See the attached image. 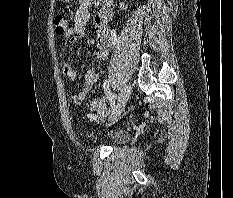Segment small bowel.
<instances>
[{
	"instance_id": "c3829d8e",
	"label": "small bowel",
	"mask_w": 233,
	"mask_h": 198,
	"mask_svg": "<svg viewBox=\"0 0 233 198\" xmlns=\"http://www.w3.org/2000/svg\"><path fill=\"white\" fill-rule=\"evenodd\" d=\"M91 2L92 0H79V6L74 14V23L72 26H67L63 34L71 43H76L85 36L86 24L90 17L89 6ZM112 16L113 13L110 6L104 5L94 18L97 33L95 57L99 60H106L112 47V39L108 29ZM62 72L70 80H74L77 77V70L70 63L65 62L62 65ZM98 80L99 75L96 71L92 69L87 70L81 90L70 96L72 103L81 104Z\"/></svg>"
}]
</instances>
